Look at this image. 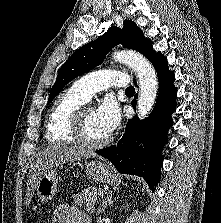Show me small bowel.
Wrapping results in <instances>:
<instances>
[{
  "label": "small bowel",
  "instance_id": "c3829d8e",
  "mask_svg": "<svg viewBox=\"0 0 221 223\" xmlns=\"http://www.w3.org/2000/svg\"><path fill=\"white\" fill-rule=\"evenodd\" d=\"M53 223H91L89 217L79 209L67 204L58 206L53 216Z\"/></svg>",
  "mask_w": 221,
  "mask_h": 223
}]
</instances>
